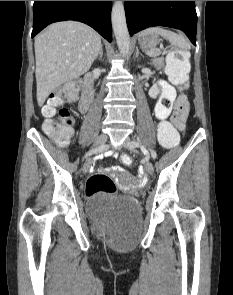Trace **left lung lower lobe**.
<instances>
[{"mask_svg":"<svg viewBox=\"0 0 233 295\" xmlns=\"http://www.w3.org/2000/svg\"><path fill=\"white\" fill-rule=\"evenodd\" d=\"M130 35L152 26L177 28L196 45L197 14L194 1H125Z\"/></svg>","mask_w":233,"mask_h":295,"instance_id":"0a47b994","label":"left lung lower lobe"}]
</instances>
